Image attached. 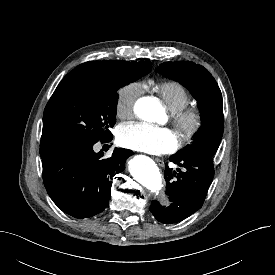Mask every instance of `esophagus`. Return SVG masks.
Wrapping results in <instances>:
<instances>
[{
	"mask_svg": "<svg viewBox=\"0 0 275 275\" xmlns=\"http://www.w3.org/2000/svg\"><path fill=\"white\" fill-rule=\"evenodd\" d=\"M155 161L158 163L159 166L163 167L164 166V161L159 158H155Z\"/></svg>",
	"mask_w": 275,
	"mask_h": 275,
	"instance_id": "1",
	"label": "esophagus"
}]
</instances>
